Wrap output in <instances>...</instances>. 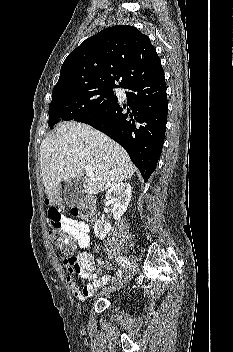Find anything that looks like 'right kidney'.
<instances>
[{"label":"right kidney","instance_id":"right-kidney-1","mask_svg":"<svg viewBox=\"0 0 233 352\" xmlns=\"http://www.w3.org/2000/svg\"><path fill=\"white\" fill-rule=\"evenodd\" d=\"M131 185L129 183H118L106 192V199L112 206V214L115 220L126 212L131 200ZM110 223L100 218L95 221L94 234L99 239H104L111 230Z\"/></svg>","mask_w":233,"mask_h":352}]
</instances>
